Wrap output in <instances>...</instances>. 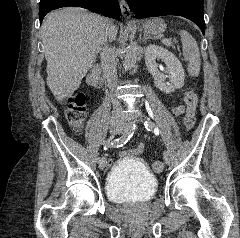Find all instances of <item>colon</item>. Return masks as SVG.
<instances>
[{
    "label": "colon",
    "instance_id": "5ec220e1",
    "mask_svg": "<svg viewBox=\"0 0 240 238\" xmlns=\"http://www.w3.org/2000/svg\"><path fill=\"white\" fill-rule=\"evenodd\" d=\"M90 85L97 87L101 84V72L98 68L93 69L88 75ZM186 113L184 115V126L186 130H191L196 121V108L198 98L193 91H188L185 94ZM86 118V97L83 93H77L68 100L66 109V119L68 124L75 131H80L83 128ZM153 171L157 174L162 173L164 165L161 161H156L152 165Z\"/></svg>",
    "mask_w": 240,
    "mask_h": 238
}]
</instances>
